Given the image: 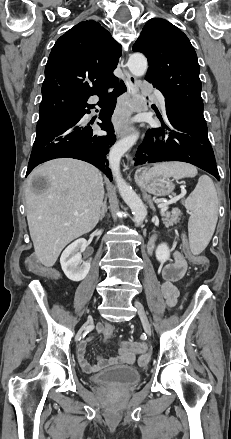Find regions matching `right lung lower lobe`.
I'll list each match as a JSON object with an SVG mask.
<instances>
[{
  "instance_id": "1",
  "label": "right lung lower lobe",
  "mask_w": 231,
  "mask_h": 439,
  "mask_svg": "<svg viewBox=\"0 0 231 439\" xmlns=\"http://www.w3.org/2000/svg\"><path fill=\"white\" fill-rule=\"evenodd\" d=\"M111 93L99 96L98 104L103 108L97 123L107 135L96 134L89 124L81 122L94 105H84L58 117L40 122L36 126V138L28 163V175L38 164L55 158H75L89 162L104 172L112 180L106 154L116 141L114 128L110 121L116 105V98L126 91L119 80L112 86ZM88 108V109H86Z\"/></svg>"
}]
</instances>
